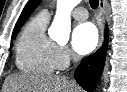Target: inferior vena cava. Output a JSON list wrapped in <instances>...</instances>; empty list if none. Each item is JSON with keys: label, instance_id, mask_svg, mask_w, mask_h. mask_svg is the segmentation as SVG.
I'll return each instance as SVG.
<instances>
[{"label": "inferior vena cava", "instance_id": "1", "mask_svg": "<svg viewBox=\"0 0 127 92\" xmlns=\"http://www.w3.org/2000/svg\"><path fill=\"white\" fill-rule=\"evenodd\" d=\"M72 61H73L74 64H77L79 62V56L72 53ZM71 81H72V83L76 84L75 80H71Z\"/></svg>", "mask_w": 127, "mask_h": 92}]
</instances>
